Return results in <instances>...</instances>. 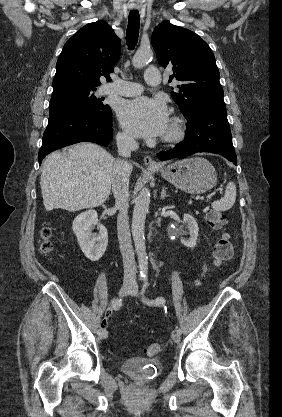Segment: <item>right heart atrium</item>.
Instances as JSON below:
<instances>
[{"label":"right heart atrium","instance_id":"right-heart-atrium-1","mask_svg":"<svg viewBox=\"0 0 282 417\" xmlns=\"http://www.w3.org/2000/svg\"><path fill=\"white\" fill-rule=\"evenodd\" d=\"M120 140L125 144H132V139L127 133H121Z\"/></svg>","mask_w":282,"mask_h":417}]
</instances>
